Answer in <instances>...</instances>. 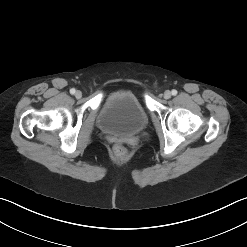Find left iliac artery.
Returning a JSON list of instances; mask_svg holds the SVG:
<instances>
[{"label": "left iliac artery", "instance_id": "left-iliac-artery-1", "mask_svg": "<svg viewBox=\"0 0 247 247\" xmlns=\"http://www.w3.org/2000/svg\"><path fill=\"white\" fill-rule=\"evenodd\" d=\"M171 93H172V95L175 96V95H177V90L173 89Z\"/></svg>", "mask_w": 247, "mask_h": 247}]
</instances>
